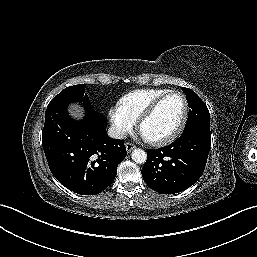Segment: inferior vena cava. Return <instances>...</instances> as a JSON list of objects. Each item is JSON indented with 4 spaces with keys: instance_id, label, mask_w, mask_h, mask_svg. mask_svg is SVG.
Wrapping results in <instances>:
<instances>
[{
    "instance_id": "602c4592",
    "label": "inferior vena cava",
    "mask_w": 257,
    "mask_h": 257,
    "mask_svg": "<svg viewBox=\"0 0 257 257\" xmlns=\"http://www.w3.org/2000/svg\"><path fill=\"white\" fill-rule=\"evenodd\" d=\"M108 135L114 139H125L127 137V132L118 126H111L108 129Z\"/></svg>"
}]
</instances>
